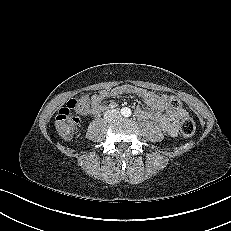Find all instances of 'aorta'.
Instances as JSON below:
<instances>
[{
	"label": "aorta",
	"mask_w": 231,
	"mask_h": 231,
	"mask_svg": "<svg viewBox=\"0 0 231 231\" xmlns=\"http://www.w3.org/2000/svg\"><path fill=\"white\" fill-rule=\"evenodd\" d=\"M125 110H126L125 115H128V113L130 112L129 109H125Z\"/></svg>",
	"instance_id": "762f6f07"
}]
</instances>
